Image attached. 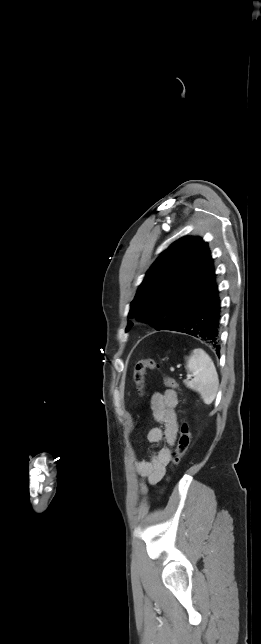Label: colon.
Instances as JSON below:
<instances>
[{"label": "colon", "instance_id": "obj_1", "mask_svg": "<svg viewBox=\"0 0 261 644\" xmlns=\"http://www.w3.org/2000/svg\"><path fill=\"white\" fill-rule=\"evenodd\" d=\"M158 367H159L158 363L152 358H144V359L138 360L135 363L134 369H133V378L141 393L144 392V388H145L146 372L148 370H156L158 369ZM164 384L167 387L172 389L178 388L177 381L170 376L164 377ZM190 441H191V433H190L189 425L186 422H183L180 427V437L178 440L177 447L175 451L171 454V463L173 465H176L180 462L181 458L184 456V454L189 448Z\"/></svg>", "mask_w": 261, "mask_h": 644}]
</instances>
